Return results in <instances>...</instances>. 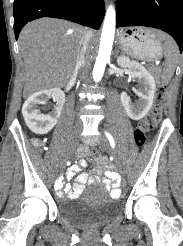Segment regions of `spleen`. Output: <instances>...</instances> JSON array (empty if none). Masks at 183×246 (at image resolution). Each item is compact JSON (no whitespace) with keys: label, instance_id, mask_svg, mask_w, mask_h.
<instances>
[{"label":"spleen","instance_id":"spleen-1","mask_svg":"<svg viewBox=\"0 0 183 246\" xmlns=\"http://www.w3.org/2000/svg\"><path fill=\"white\" fill-rule=\"evenodd\" d=\"M156 36L160 41H164L163 50L166 58V67L163 70L161 81L163 84H168L175 72L178 47L174 40L165 33L157 31Z\"/></svg>","mask_w":183,"mask_h":246}]
</instances>
